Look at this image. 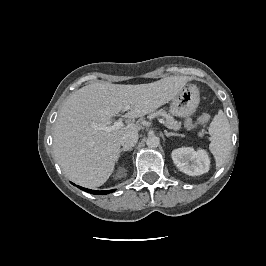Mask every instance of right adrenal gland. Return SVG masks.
Instances as JSON below:
<instances>
[{"mask_svg":"<svg viewBox=\"0 0 266 266\" xmlns=\"http://www.w3.org/2000/svg\"><path fill=\"white\" fill-rule=\"evenodd\" d=\"M129 150H131V149H124V148H122V149H120V154H122L123 152L129 151Z\"/></svg>","mask_w":266,"mask_h":266,"instance_id":"right-adrenal-gland-1","label":"right adrenal gland"}]
</instances>
